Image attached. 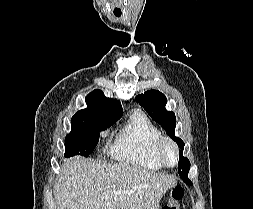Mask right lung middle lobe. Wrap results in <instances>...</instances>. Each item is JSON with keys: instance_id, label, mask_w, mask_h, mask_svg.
Listing matches in <instances>:
<instances>
[{"instance_id": "obj_1", "label": "right lung middle lobe", "mask_w": 253, "mask_h": 209, "mask_svg": "<svg viewBox=\"0 0 253 209\" xmlns=\"http://www.w3.org/2000/svg\"><path fill=\"white\" fill-rule=\"evenodd\" d=\"M119 119L88 116L72 120V130L65 137V157L75 155L88 157L98 143L99 132L110 127Z\"/></svg>"}]
</instances>
